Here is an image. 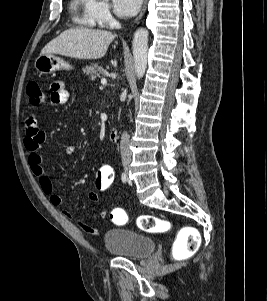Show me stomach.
<instances>
[{"label":"stomach","mask_w":267,"mask_h":301,"mask_svg":"<svg viewBox=\"0 0 267 301\" xmlns=\"http://www.w3.org/2000/svg\"><path fill=\"white\" fill-rule=\"evenodd\" d=\"M35 68L41 74H50L59 70H70L72 66L53 54L40 55L35 61Z\"/></svg>","instance_id":"stomach-1"}]
</instances>
